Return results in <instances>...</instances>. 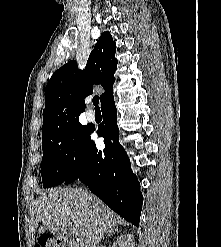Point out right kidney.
Here are the masks:
<instances>
[{
    "instance_id": "1",
    "label": "right kidney",
    "mask_w": 221,
    "mask_h": 247,
    "mask_svg": "<svg viewBox=\"0 0 221 247\" xmlns=\"http://www.w3.org/2000/svg\"><path fill=\"white\" fill-rule=\"evenodd\" d=\"M134 237L131 234L121 235L112 247H134Z\"/></svg>"
}]
</instances>
